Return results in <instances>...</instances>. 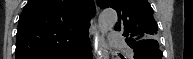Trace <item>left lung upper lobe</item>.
Returning a JSON list of instances; mask_svg holds the SVG:
<instances>
[{"label":"left lung upper lobe","mask_w":193,"mask_h":59,"mask_svg":"<svg viewBox=\"0 0 193 59\" xmlns=\"http://www.w3.org/2000/svg\"><path fill=\"white\" fill-rule=\"evenodd\" d=\"M101 9L111 7L117 11L115 30L124 31L126 43L132 47L142 41L144 44L156 41L158 26L153 19V10L147 0H97Z\"/></svg>","instance_id":"obj_1"}]
</instances>
